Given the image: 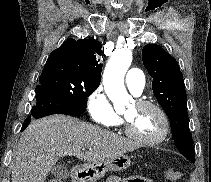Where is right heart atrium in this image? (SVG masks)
<instances>
[{
    "label": "right heart atrium",
    "instance_id": "d8ad5b80",
    "mask_svg": "<svg viewBox=\"0 0 211 182\" xmlns=\"http://www.w3.org/2000/svg\"><path fill=\"white\" fill-rule=\"evenodd\" d=\"M87 110L91 119L99 125L115 126L121 118L114 110L102 87L96 88L87 98Z\"/></svg>",
    "mask_w": 211,
    "mask_h": 182
}]
</instances>
